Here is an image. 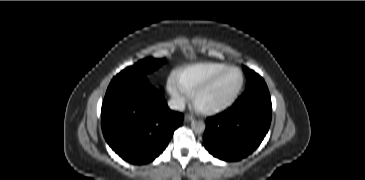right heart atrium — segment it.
Wrapping results in <instances>:
<instances>
[{
	"label": "right heart atrium",
	"mask_w": 365,
	"mask_h": 180,
	"mask_svg": "<svg viewBox=\"0 0 365 180\" xmlns=\"http://www.w3.org/2000/svg\"><path fill=\"white\" fill-rule=\"evenodd\" d=\"M167 89L177 105H182L187 99V93L179 84L176 74H172L167 81Z\"/></svg>",
	"instance_id": "1"
}]
</instances>
